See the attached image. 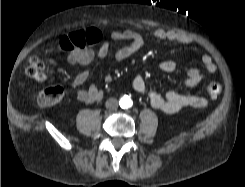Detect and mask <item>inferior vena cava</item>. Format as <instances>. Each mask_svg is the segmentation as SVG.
I'll return each instance as SVG.
<instances>
[{
    "mask_svg": "<svg viewBox=\"0 0 245 187\" xmlns=\"http://www.w3.org/2000/svg\"><path fill=\"white\" fill-rule=\"evenodd\" d=\"M105 106L107 109L115 110L118 107V101L115 98H109L107 99Z\"/></svg>",
    "mask_w": 245,
    "mask_h": 187,
    "instance_id": "inferior-vena-cava-1",
    "label": "inferior vena cava"
}]
</instances>
